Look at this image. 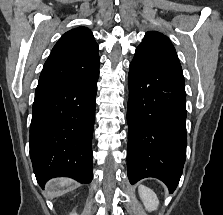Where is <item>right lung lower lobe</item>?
Here are the masks:
<instances>
[{
    "label": "right lung lower lobe",
    "instance_id": "98d812e1",
    "mask_svg": "<svg viewBox=\"0 0 223 215\" xmlns=\"http://www.w3.org/2000/svg\"><path fill=\"white\" fill-rule=\"evenodd\" d=\"M99 69L74 83L35 94L30 157L41 187L53 177L92 181V135Z\"/></svg>",
    "mask_w": 223,
    "mask_h": 215
}]
</instances>
